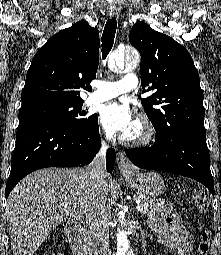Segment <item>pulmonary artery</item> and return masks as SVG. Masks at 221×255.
<instances>
[{"label": "pulmonary artery", "instance_id": "1", "mask_svg": "<svg viewBox=\"0 0 221 255\" xmlns=\"http://www.w3.org/2000/svg\"><path fill=\"white\" fill-rule=\"evenodd\" d=\"M138 83L137 76L134 73H128L116 82L98 81L94 84V91L86 100V103L96 104L114 98L120 94L132 91Z\"/></svg>", "mask_w": 221, "mask_h": 255}]
</instances>
